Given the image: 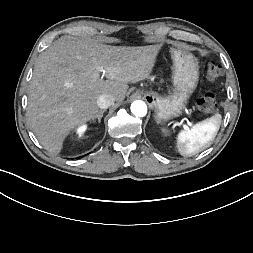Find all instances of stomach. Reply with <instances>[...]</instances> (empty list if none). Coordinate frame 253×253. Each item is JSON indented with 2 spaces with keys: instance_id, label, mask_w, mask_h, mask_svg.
I'll return each mask as SVG.
<instances>
[{
  "instance_id": "0dacf381",
  "label": "stomach",
  "mask_w": 253,
  "mask_h": 253,
  "mask_svg": "<svg viewBox=\"0 0 253 253\" xmlns=\"http://www.w3.org/2000/svg\"><path fill=\"white\" fill-rule=\"evenodd\" d=\"M171 54L174 93L167 97H160L154 92L146 93L147 98L150 102L152 101L155 107V118L158 122L181 115L199 79L198 61L192 53L181 49H172Z\"/></svg>"
}]
</instances>
